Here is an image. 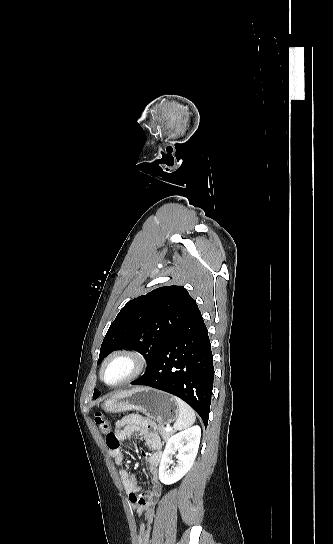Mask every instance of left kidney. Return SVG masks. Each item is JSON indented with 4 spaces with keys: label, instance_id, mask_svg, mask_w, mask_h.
I'll list each match as a JSON object with an SVG mask.
<instances>
[{
    "label": "left kidney",
    "instance_id": "left-kidney-1",
    "mask_svg": "<svg viewBox=\"0 0 333 544\" xmlns=\"http://www.w3.org/2000/svg\"><path fill=\"white\" fill-rule=\"evenodd\" d=\"M200 436L201 429L196 425L168 439L159 466V479L163 484L170 485L179 481L190 470L198 452ZM176 450L179 452L176 456L177 464L169 469Z\"/></svg>",
    "mask_w": 333,
    "mask_h": 544
}]
</instances>
